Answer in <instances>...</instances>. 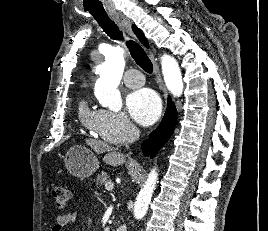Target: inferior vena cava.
<instances>
[{
	"label": "inferior vena cava",
	"mask_w": 268,
	"mask_h": 231,
	"mask_svg": "<svg viewBox=\"0 0 268 231\" xmlns=\"http://www.w3.org/2000/svg\"><path fill=\"white\" fill-rule=\"evenodd\" d=\"M134 135L137 137V136H139V130L137 129V128H135L134 130Z\"/></svg>",
	"instance_id": "inferior-vena-cava-1"
}]
</instances>
